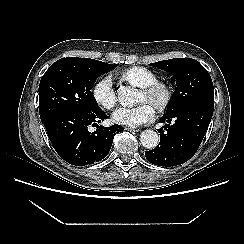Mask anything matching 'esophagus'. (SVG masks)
I'll use <instances>...</instances> for the list:
<instances>
[{
	"label": "esophagus",
	"instance_id": "esophagus-1",
	"mask_svg": "<svg viewBox=\"0 0 244 244\" xmlns=\"http://www.w3.org/2000/svg\"><path fill=\"white\" fill-rule=\"evenodd\" d=\"M125 129L130 132H139V129H134V128H125Z\"/></svg>",
	"mask_w": 244,
	"mask_h": 244
}]
</instances>
